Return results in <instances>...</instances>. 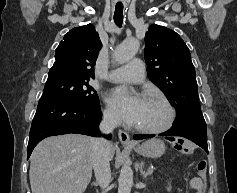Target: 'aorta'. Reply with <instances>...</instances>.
Here are the masks:
<instances>
[{"label": "aorta", "instance_id": "aorta-1", "mask_svg": "<svg viewBox=\"0 0 237 193\" xmlns=\"http://www.w3.org/2000/svg\"><path fill=\"white\" fill-rule=\"evenodd\" d=\"M139 49V42L135 38L125 40L118 45L114 51V59L117 63L123 64L131 60ZM118 193H130L133 184V171L129 164L124 163L118 179Z\"/></svg>", "mask_w": 237, "mask_h": 193}]
</instances>
